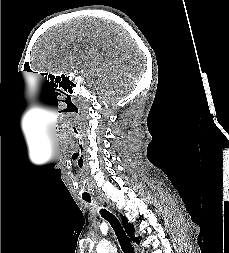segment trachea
Masks as SVG:
<instances>
[{
	"mask_svg": "<svg viewBox=\"0 0 229 253\" xmlns=\"http://www.w3.org/2000/svg\"><path fill=\"white\" fill-rule=\"evenodd\" d=\"M83 199L89 203L91 202L90 197H84ZM100 214L104 219H106L111 224L112 228L114 229L122 251L124 253H135L134 248L132 247L119 220L112 213H110L105 209H101Z\"/></svg>",
	"mask_w": 229,
	"mask_h": 253,
	"instance_id": "obj_1",
	"label": "trachea"
}]
</instances>
